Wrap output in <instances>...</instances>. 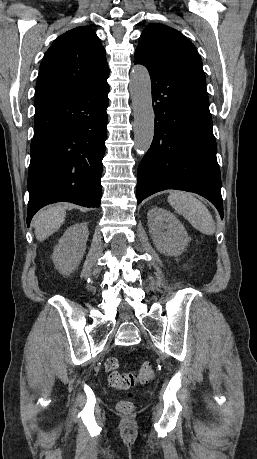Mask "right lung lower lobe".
I'll return each instance as SVG.
<instances>
[{"instance_id": "right-lung-lower-lobe-1", "label": "right lung lower lobe", "mask_w": 257, "mask_h": 459, "mask_svg": "<svg viewBox=\"0 0 257 459\" xmlns=\"http://www.w3.org/2000/svg\"><path fill=\"white\" fill-rule=\"evenodd\" d=\"M106 80L35 102L28 226L34 214L51 203L68 201L88 208L100 206L109 105Z\"/></svg>"}]
</instances>
